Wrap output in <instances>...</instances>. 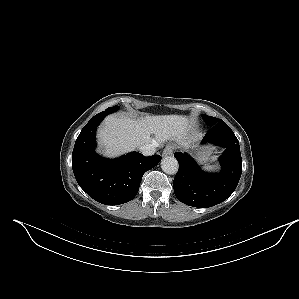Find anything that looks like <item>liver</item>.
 <instances>
[{"instance_id": "1", "label": "liver", "mask_w": 299, "mask_h": 299, "mask_svg": "<svg viewBox=\"0 0 299 299\" xmlns=\"http://www.w3.org/2000/svg\"><path fill=\"white\" fill-rule=\"evenodd\" d=\"M190 121L182 115H156L140 119L108 116L98 130V138L108 156H117L145 144L157 146L171 140L188 147Z\"/></svg>"}]
</instances>
